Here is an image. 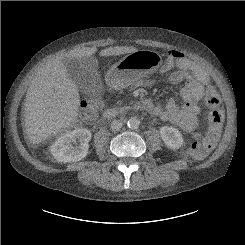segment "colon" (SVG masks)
<instances>
[{
    "label": "colon",
    "instance_id": "colon-1",
    "mask_svg": "<svg viewBox=\"0 0 245 245\" xmlns=\"http://www.w3.org/2000/svg\"><path fill=\"white\" fill-rule=\"evenodd\" d=\"M167 57L170 62L176 63L184 58V54L177 50H170L167 53ZM101 102L102 100L99 96L91 95L87 97L84 100L77 125L83 126L91 122L95 118L97 108ZM205 102L208 107L213 109L210 114V130L204 138L194 141L190 147L184 150V156L192 159H203L214 148L221 133L223 114L217 110L220 104V97L212 86H209L206 90Z\"/></svg>",
    "mask_w": 245,
    "mask_h": 245
}]
</instances>
